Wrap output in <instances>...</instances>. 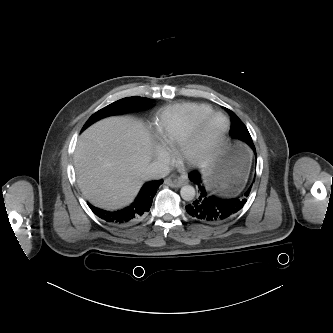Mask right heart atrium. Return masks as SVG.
I'll return each mask as SVG.
<instances>
[{"mask_svg": "<svg viewBox=\"0 0 333 333\" xmlns=\"http://www.w3.org/2000/svg\"><path fill=\"white\" fill-rule=\"evenodd\" d=\"M154 156L157 162L160 164H165L170 160L168 150L160 144H156L154 146Z\"/></svg>", "mask_w": 333, "mask_h": 333, "instance_id": "obj_1", "label": "right heart atrium"}]
</instances>
